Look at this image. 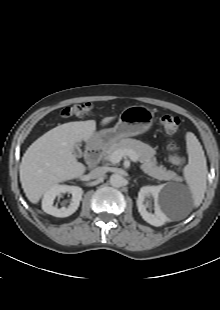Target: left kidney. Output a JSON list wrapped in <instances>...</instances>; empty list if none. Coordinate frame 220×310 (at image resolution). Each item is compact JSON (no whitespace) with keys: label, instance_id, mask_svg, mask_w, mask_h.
<instances>
[{"label":"left kidney","instance_id":"obj_1","mask_svg":"<svg viewBox=\"0 0 220 310\" xmlns=\"http://www.w3.org/2000/svg\"><path fill=\"white\" fill-rule=\"evenodd\" d=\"M163 185L161 186H144L138 193L137 206L138 211L142 218L153 226L163 225L168 217L166 211L171 203V199L168 195L162 192ZM151 196L154 200V214L147 211L149 203L146 202V198Z\"/></svg>","mask_w":220,"mask_h":310}]
</instances>
